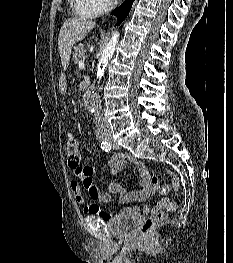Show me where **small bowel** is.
I'll list each match as a JSON object with an SVG mask.
<instances>
[{"label":"small bowel","instance_id":"obj_1","mask_svg":"<svg viewBox=\"0 0 233 263\" xmlns=\"http://www.w3.org/2000/svg\"><path fill=\"white\" fill-rule=\"evenodd\" d=\"M127 163L133 165L139 176L138 189L134 191H127L117 184H112L110 185L107 192H103L99 190L92 178V167L85 165L82 166L80 170L76 171V176L81 180L83 189L93 201V203L87 205L84 208L85 212L107 222L111 220L113 216L102 209L98 203H108L115 194L119 195L120 202L123 204H128L131 202H143L154 194L155 189L152 185L151 175L146 165L133 156H127L122 153L114 154L108 161L111 174L117 175ZM71 189L76 201L82 204L84 202V197L82 194L81 185L77 181H74L71 184ZM169 191L170 186L168 185H165L163 189L160 190V192L163 194H167ZM168 202L169 200L164 197L157 201L152 207L135 206L133 208H127V210L131 212H137L139 210L144 212H156L163 209Z\"/></svg>","mask_w":233,"mask_h":263}]
</instances>
